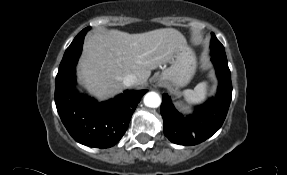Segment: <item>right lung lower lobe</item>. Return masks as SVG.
I'll use <instances>...</instances> for the list:
<instances>
[{"mask_svg":"<svg viewBox=\"0 0 287 175\" xmlns=\"http://www.w3.org/2000/svg\"><path fill=\"white\" fill-rule=\"evenodd\" d=\"M86 32L82 30L65 51L55 80V103L62 123L77 142L89 147L108 148L122 138L147 90L125 91L101 103L77 92L75 66Z\"/></svg>","mask_w":287,"mask_h":175,"instance_id":"obj_1","label":"right lung lower lobe"}]
</instances>
